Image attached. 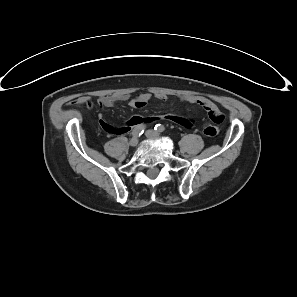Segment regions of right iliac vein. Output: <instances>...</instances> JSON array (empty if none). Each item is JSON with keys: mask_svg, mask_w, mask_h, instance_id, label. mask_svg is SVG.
<instances>
[{"mask_svg": "<svg viewBox=\"0 0 297 297\" xmlns=\"http://www.w3.org/2000/svg\"><path fill=\"white\" fill-rule=\"evenodd\" d=\"M129 144L131 145V146H136L137 144H138V138H137V136L136 137H133L131 140H130V142H129Z\"/></svg>", "mask_w": 297, "mask_h": 297, "instance_id": "right-iliac-vein-1", "label": "right iliac vein"}]
</instances>
